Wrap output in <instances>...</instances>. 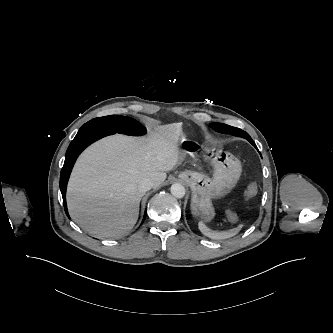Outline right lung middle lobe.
I'll return each instance as SVG.
<instances>
[{"instance_id":"right-lung-middle-lobe-1","label":"right lung middle lobe","mask_w":333,"mask_h":333,"mask_svg":"<svg viewBox=\"0 0 333 333\" xmlns=\"http://www.w3.org/2000/svg\"><path fill=\"white\" fill-rule=\"evenodd\" d=\"M93 129L111 130L115 133L117 132L134 136L146 133L145 127H143L140 123L132 118L119 115L94 118L85 123L80 128L79 132Z\"/></svg>"}]
</instances>
